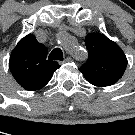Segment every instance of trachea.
Here are the masks:
<instances>
[{"label":"trachea","instance_id":"1","mask_svg":"<svg viewBox=\"0 0 135 135\" xmlns=\"http://www.w3.org/2000/svg\"><path fill=\"white\" fill-rule=\"evenodd\" d=\"M50 60H60L63 61V53L60 48H55L49 55Z\"/></svg>","mask_w":135,"mask_h":135}]
</instances>
